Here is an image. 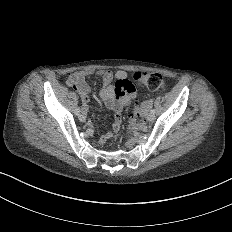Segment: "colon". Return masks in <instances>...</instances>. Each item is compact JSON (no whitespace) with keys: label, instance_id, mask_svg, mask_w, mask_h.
Listing matches in <instances>:
<instances>
[{"label":"colon","instance_id":"colon-1","mask_svg":"<svg viewBox=\"0 0 232 232\" xmlns=\"http://www.w3.org/2000/svg\"><path fill=\"white\" fill-rule=\"evenodd\" d=\"M138 80H148L143 81V86H149V91L152 92V97H165L169 95L170 91L168 89L167 82L160 76V71H147V75H138ZM131 126L135 130H142L146 126V119L142 115H135L131 119Z\"/></svg>","mask_w":232,"mask_h":232}]
</instances>
